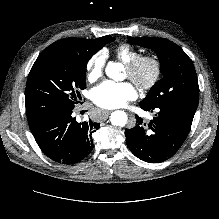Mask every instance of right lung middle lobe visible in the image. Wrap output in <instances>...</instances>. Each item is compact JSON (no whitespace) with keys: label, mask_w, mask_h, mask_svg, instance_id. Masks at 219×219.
I'll use <instances>...</instances> for the list:
<instances>
[{"label":"right lung middle lobe","mask_w":219,"mask_h":219,"mask_svg":"<svg viewBox=\"0 0 219 219\" xmlns=\"http://www.w3.org/2000/svg\"><path fill=\"white\" fill-rule=\"evenodd\" d=\"M95 53L91 48L65 40L56 41L42 51L26 84L28 122L74 108L79 90L86 88V66Z\"/></svg>","instance_id":"right-lung-middle-lobe-1"}]
</instances>
